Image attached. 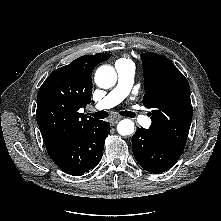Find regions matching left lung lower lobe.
Listing matches in <instances>:
<instances>
[{
	"label": "left lung lower lobe",
	"instance_id": "obj_1",
	"mask_svg": "<svg viewBox=\"0 0 221 221\" xmlns=\"http://www.w3.org/2000/svg\"><path fill=\"white\" fill-rule=\"evenodd\" d=\"M132 150L142 168L158 174L170 169L176 163L184 147L167 143L148 129L138 128L132 137Z\"/></svg>",
	"mask_w": 221,
	"mask_h": 221
}]
</instances>
